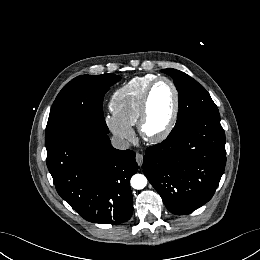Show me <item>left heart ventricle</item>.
Returning a JSON list of instances; mask_svg holds the SVG:
<instances>
[{
  "label": "left heart ventricle",
  "instance_id": "obj_1",
  "mask_svg": "<svg viewBox=\"0 0 260 260\" xmlns=\"http://www.w3.org/2000/svg\"><path fill=\"white\" fill-rule=\"evenodd\" d=\"M174 109V93L166 82L157 84L150 98L145 131L149 135L162 132L171 118Z\"/></svg>",
  "mask_w": 260,
  "mask_h": 260
}]
</instances>
